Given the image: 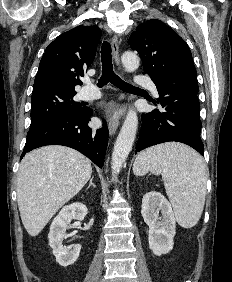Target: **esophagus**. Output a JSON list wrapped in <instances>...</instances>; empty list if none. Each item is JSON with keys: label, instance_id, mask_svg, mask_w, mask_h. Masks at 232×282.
I'll return each mask as SVG.
<instances>
[{"label": "esophagus", "instance_id": "obj_1", "mask_svg": "<svg viewBox=\"0 0 232 282\" xmlns=\"http://www.w3.org/2000/svg\"><path fill=\"white\" fill-rule=\"evenodd\" d=\"M112 53L114 60L117 64H119V40L117 35H114L111 39ZM119 120L118 118L112 117L108 123V130L110 135H114L118 129Z\"/></svg>", "mask_w": 232, "mask_h": 282}]
</instances>
